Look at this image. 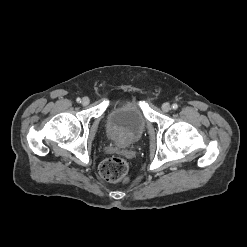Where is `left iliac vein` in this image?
I'll return each instance as SVG.
<instances>
[{"instance_id":"obj_1","label":"left iliac vein","mask_w":247,"mask_h":247,"mask_svg":"<svg viewBox=\"0 0 247 247\" xmlns=\"http://www.w3.org/2000/svg\"><path fill=\"white\" fill-rule=\"evenodd\" d=\"M162 110L164 111V112H169L170 110H171V106H170V104L169 103H163V105H162Z\"/></svg>"}]
</instances>
